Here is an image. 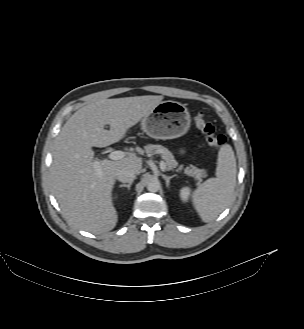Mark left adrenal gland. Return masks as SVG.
Masks as SVG:
<instances>
[{
    "label": "left adrenal gland",
    "instance_id": "a2214340",
    "mask_svg": "<svg viewBox=\"0 0 304 329\" xmlns=\"http://www.w3.org/2000/svg\"><path fill=\"white\" fill-rule=\"evenodd\" d=\"M162 177H163V179H164L165 182H166V187L168 188L169 185H170V180H171L172 178H174L175 175H172V176H166V175L162 174Z\"/></svg>",
    "mask_w": 304,
    "mask_h": 329
}]
</instances>
